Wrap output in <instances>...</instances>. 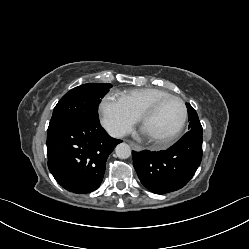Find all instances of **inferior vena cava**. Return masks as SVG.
<instances>
[{"instance_id":"obj_1","label":"inferior vena cava","mask_w":249,"mask_h":249,"mask_svg":"<svg viewBox=\"0 0 249 249\" xmlns=\"http://www.w3.org/2000/svg\"><path fill=\"white\" fill-rule=\"evenodd\" d=\"M107 131L110 136L115 138L123 137L126 135V130L117 126H111Z\"/></svg>"}]
</instances>
